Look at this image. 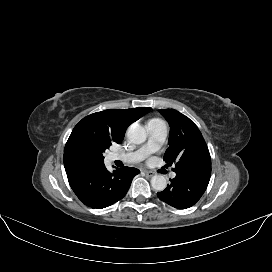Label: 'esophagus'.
Here are the masks:
<instances>
[{
  "label": "esophagus",
  "mask_w": 272,
  "mask_h": 272,
  "mask_svg": "<svg viewBox=\"0 0 272 272\" xmlns=\"http://www.w3.org/2000/svg\"><path fill=\"white\" fill-rule=\"evenodd\" d=\"M144 173H145V175H146L147 177H152V176L155 175V173L152 172V171H144Z\"/></svg>",
  "instance_id": "esophagus-1"
}]
</instances>
